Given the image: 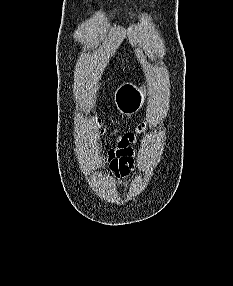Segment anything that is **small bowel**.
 Returning a JSON list of instances; mask_svg holds the SVG:
<instances>
[{
  "label": "small bowel",
  "mask_w": 233,
  "mask_h": 286,
  "mask_svg": "<svg viewBox=\"0 0 233 286\" xmlns=\"http://www.w3.org/2000/svg\"><path fill=\"white\" fill-rule=\"evenodd\" d=\"M134 142V136L126 134L117 141L114 147L109 149L105 163L115 177L125 178L133 170L135 164Z\"/></svg>",
  "instance_id": "small-bowel-1"
}]
</instances>
